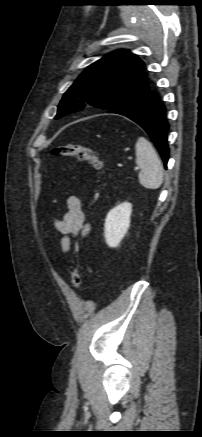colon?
<instances>
[{
	"instance_id": "obj_1",
	"label": "colon",
	"mask_w": 202,
	"mask_h": 437,
	"mask_svg": "<svg viewBox=\"0 0 202 437\" xmlns=\"http://www.w3.org/2000/svg\"><path fill=\"white\" fill-rule=\"evenodd\" d=\"M52 154L55 156H67L75 157L80 161H86L92 165L100 174L105 172L104 161L90 149L79 145H60L52 150ZM82 276L78 266H75L71 273V283L75 289L81 286Z\"/></svg>"
}]
</instances>
